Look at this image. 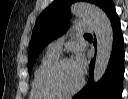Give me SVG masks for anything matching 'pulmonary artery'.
<instances>
[{
	"label": "pulmonary artery",
	"mask_w": 128,
	"mask_h": 99,
	"mask_svg": "<svg viewBox=\"0 0 128 99\" xmlns=\"http://www.w3.org/2000/svg\"><path fill=\"white\" fill-rule=\"evenodd\" d=\"M75 30L78 32H91L93 31V25L89 22H78L75 26ZM65 40V37H61L52 41L48 46V51L59 54L62 49V44Z\"/></svg>",
	"instance_id": "obj_1"
}]
</instances>
